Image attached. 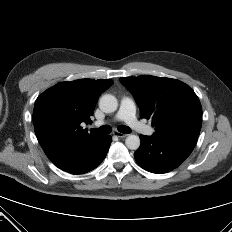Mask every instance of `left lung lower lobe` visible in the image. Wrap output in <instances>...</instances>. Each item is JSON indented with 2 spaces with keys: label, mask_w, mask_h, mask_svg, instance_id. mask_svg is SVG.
<instances>
[{
  "label": "left lung lower lobe",
  "mask_w": 232,
  "mask_h": 232,
  "mask_svg": "<svg viewBox=\"0 0 232 232\" xmlns=\"http://www.w3.org/2000/svg\"><path fill=\"white\" fill-rule=\"evenodd\" d=\"M194 136H144L134 156L145 170L162 174L177 168L193 151L197 142Z\"/></svg>",
  "instance_id": "obj_1"
}]
</instances>
